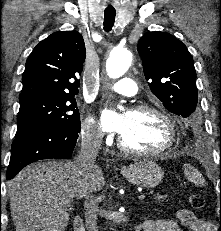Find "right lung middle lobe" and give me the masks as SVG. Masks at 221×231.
Returning <instances> with one entry per match:
<instances>
[{
  "label": "right lung middle lobe",
  "mask_w": 221,
  "mask_h": 231,
  "mask_svg": "<svg viewBox=\"0 0 221 231\" xmlns=\"http://www.w3.org/2000/svg\"><path fill=\"white\" fill-rule=\"evenodd\" d=\"M19 100L16 134L29 126L39 124L80 132V115L74 96L37 95Z\"/></svg>",
  "instance_id": "obj_1"
}]
</instances>
